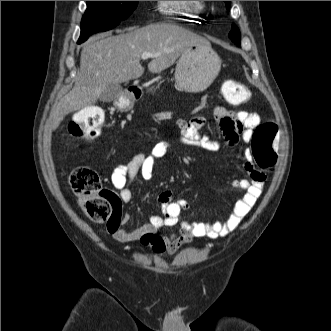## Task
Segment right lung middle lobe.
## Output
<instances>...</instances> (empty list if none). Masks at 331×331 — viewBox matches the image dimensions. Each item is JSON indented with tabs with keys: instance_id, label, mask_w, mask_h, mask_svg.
Returning <instances> with one entry per match:
<instances>
[{
	"instance_id": "right-lung-middle-lobe-1",
	"label": "right lung middle lobe",
	"mask_w": 331,
	"mask_h": 331,
	"mask_svg": "<svg viewBox=\"0 0 331 331\" xmlns=\"http://www.w3.org/2000/svg\"><path fill=\"white\" fill-rule=\"evenodd\" d=\"M137 4L138 1H88L78 43L84 42L93 33L116 27L134 11Z\"/></svg>"
}]
</instances>
